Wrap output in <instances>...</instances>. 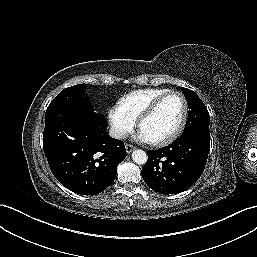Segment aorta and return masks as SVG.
<instances>
[{
  "instance_id": "obj_1",
  "label": "aorta",
  "mask_w": 257,
  "mask_h": 257,
  "mask_svg": "<svg viewBox=\"0 0 257 257\" xmlns=\"http://www.w3.org/2000/svg\"><path fill=\"white\" fill-rule=\"evenodd\" d=\"M132 159L136 164L142 165L147 162V154L145 151L138 149L133 151L132 153Z\"/></svg>"
}]
</instances>
